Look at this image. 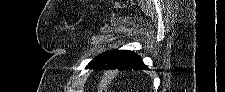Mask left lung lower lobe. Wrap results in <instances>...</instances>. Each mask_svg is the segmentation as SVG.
Masks as SVG:
<instances>
[{
	"instance_id": "obj_1",
	"label": "left lung lower lobe",
	"mask_w": 225,
	"mask_h": 92,
	"mask_svg": "<svg viewBox=\"0 0 225 92\" xmlns=\"http://www.w3.org/2000/svg\"><path fill=\"white\" fill-rule=\"evenodd\" d=\"M95 69L145 70L147 69V66L144 65L140 56L136 55L134 52L128 50H119L109 56Z\"/></svg>"
}]
</instances>
